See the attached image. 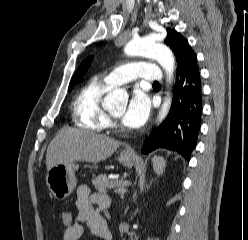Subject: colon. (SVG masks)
I'll list each match as a JSON object with an SVG mask.
<instances>
[{
  "mask_svg": "<svg viewBox=\"0 0 248 240\" xmlns=\"http://www.w3.org/2000/svg\"><path fill=\"white\" fill-rule=\"evenodd\" d=\"M74 220L73 214L71 211H62L60 214V221L63 227H68L72 224Z\"/></svg>",
  "mask_w": 248,
  "mask_h": 240,
  "instance_id": "5ec220e1",
  "label": "colon"
}]
</instances>
